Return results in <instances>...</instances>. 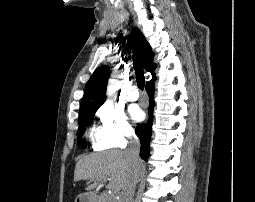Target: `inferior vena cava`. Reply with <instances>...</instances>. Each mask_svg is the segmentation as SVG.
I'll use <instances>...</instances> for the list:
<instances>
[{"label":"inferior vena cava","mask_w":255,"mask_h":202,"mask_svg":"<svg viewBox=\"0 0 255 202\" xmlns=\"http://www.w3.org/2000/svg\"><path fill=\"white\" fill-rule=\"evenodd\" d=\"M140 142L134 132L129 133V146L125 150L126 155L129 157L133 164L134 171L128 185L122 190L119 202H132L135 193V188L138 182L140 173L139 165L141 163L139 157Z\"/></svg>","instance_id":"obj_1"}]
</instances>
